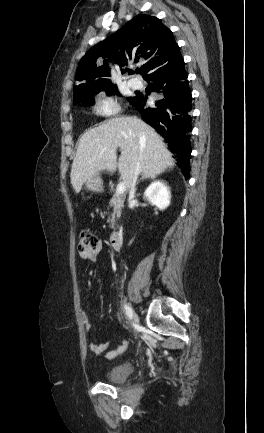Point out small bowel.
Listing matches in <instances>:
<instances>
[{"label": "small bowel", "instance_id": "c3829d8e", "mask_svg": "<svg viewBox=\"0 0 264 433\" xmlns=\"http://www.w3.org/2000/svg\"><path fill=\"white\" fill-rule=\"evenodd\" d=\"M102 248H103V242L99 241L93 250L86 252V253H82L81 258L84 261L94 262L97 260ZM81 317H82L85 329L87 331H90L92 329V324L89 320L87 313L85 311H82ZM128 345H129V341L124 340L114 351L107 352L106 358L111 359V358H114V357L122 354L125 351V349L128 347ZM89 348H90L92 353L99 355V354L105 352L109 348V342L108 341L98 342V343L92 342V343H90Z\"/></svg>", "mask_w": 264, "mask_h": 433}]
</instances>
